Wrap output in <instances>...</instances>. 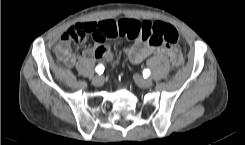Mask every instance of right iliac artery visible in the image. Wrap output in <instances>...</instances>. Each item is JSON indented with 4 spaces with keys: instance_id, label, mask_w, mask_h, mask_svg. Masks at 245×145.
Segmentation results:
<instances>
[{
    "instance_id": "obj_1",
    "label": "right iliac artery",
    "mask_w": 245,
    "mask_h": 145,
    "mask_svg": "<svg viewBox=\"0 0 245 145\" xmlns=\"http://www.w3.org/2000/svg\"><path fill=\"white\" fill-rule=\"evenodd\" d=\"M95 70L97 73L102 74L104 71V66L102 64H99Z\"/></svg>"
}]
</instances>
